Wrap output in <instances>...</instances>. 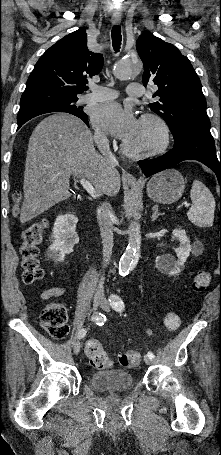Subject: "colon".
Returning a JSON list of instances; mask_svg holds the SVG:
<instances>
[{"mask_svg": "<svg viewBox=\"0 0 221 455\" xmlns=\"http://www.w3.org/2000/svg\"><path fill=\"white\" fill-rule=\"evenodd\" d=\"M15 208L13 214H18V203L21 200V193H14ZM47 227L44 220L38 221L25 228L21 233L22 243L19 247L21 256V267L23 270V281L26 284H33L43 279V269L40 267L38 255L39 245L43 233ZM211 275L207 270L199 271L193 278L192 290L203 292L210 284ZM42 327L54 339H63L69 332L68 314L66 307L60 302H51L46 305L40 313ZM164 325L168 330L175 331L181 326V317L176 312H168L164 317ZM85 353L91 365L97 369L110 367L111 359L96 338H89L85 342ZM119 362L125 368H133L140 364L141 354L137 351H127L120 355Z\"/></svg>", "mask_w": 221, "mask_h": 455, "instance_id": "colon-1", "label": "colon"}]
</instances>
